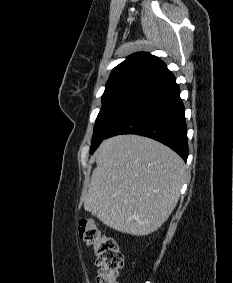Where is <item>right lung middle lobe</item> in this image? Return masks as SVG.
Wrapping results in <instances>:
<instances>
[{"mask_svg":"<svg viewBox=\"0 0 233 283\" xmlns=\"http://www.w3.org/2000/svg\"><path fill=\"white\" fill-rule=\"evenodd\" d=\"M149 84L150 81L134 80L105 88L102 108L94 126L90 153H93L102 140L106 139L110 129Z\"/></svg>","mask_w":233,"mask_h":283,"instance_id":"dd1d6c3e","label":"right lung middle lobe"}]
</instances>
